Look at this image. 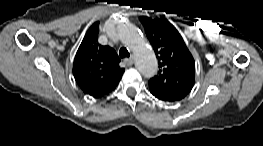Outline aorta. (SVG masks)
I'll list each match as a JSON object with an SVG mask.
<instances>
[{
  "label": "aorta",
  "instance_id": "obj_1",
  "mask_svg": "<svg viewBox=\"0 0 263 146\" xmlns=\"http://www.w3.org/2000/svg\"><path fill=\"white\" fill-rule=\"evenodd\" d=\"M119 35L122 42L135 53L138 71L145 77L155 75L158 69L156 56L139 29L125 25Z\"/></svg>",
  "mask_w": 263,
  "mask_h": 146
}]
</instances>
